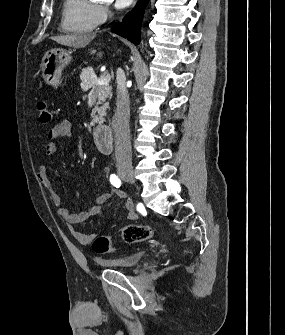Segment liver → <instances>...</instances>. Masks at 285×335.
<instances>
[{
	"label": "liver",
	"instance_id": "6515ba94",
	"mask_svg": "<svg viewBox=\"0 0 285 335\" xmlns=\"http://www.w3.org/2000/svg\"><path fill=\"white\" fill-rule=\"evenodd\" d=\"M94 38L95 34H69V36H52L51 40L62 46H70V48H85ZM97 56L101 58L102 54H97Z\"/></svg>",
	"mask_w": 285,
	"mask_h": 335
}]
</instances>
